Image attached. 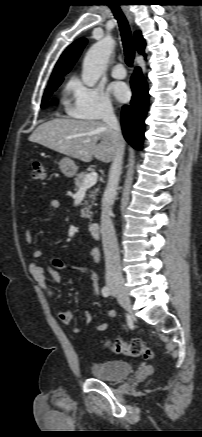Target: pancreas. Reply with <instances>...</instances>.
Wrapping results in <instances>:
<instances>
[{"mask_svg":"<svg viewBox=\"0 0 202 437\" xmlns=\"http://www.w3.org/2000/svg\"><path fill=\"white\" fill-rule=\"evenodd\" d=\"M88 175V173L86 172H81L80 174H77L75 179H74V184H75V190H79L83 184V181L85 179V177ZM98 189H95L93 191H90V193L88 194V197L91 199V203L92 205H95L94 201H95V197L97 194ZM86 198V197H85ZM88 203V200H84V207L81 209V217L82 218H90L91 216V206Z\"/></svg>","mask_w":202,"mask_h":437,"instance_id":"pancreas-1","label":"pancreas"}]
</instances>
